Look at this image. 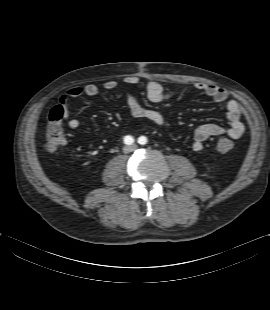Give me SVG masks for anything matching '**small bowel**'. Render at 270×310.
<instances>
[{"instance_id": "small-bowel-1", "label": "small bowel", "mask_w": 270, "mask_h": 310, "mask_svg": "<svg viewBox=\"0 0 270 310\" xmlns=\"http://www.w3.org/2000/svg\"><path fill=\"white\" fill-rule=\"evenodd\" d=\"M124 82L129 85H137L141 80L136 76H128L124 79ZM117 86L118 83L113 80H107L103 83V88L105 90H114ZM144 89L147 98L156 103L171 100L176 96L175 92L166 91L160 83L154 80H147L144 83ZM195 89L212 99L214 102L225 104L229 126L223 127L215 123H207L197 127L193 134L192 149L194 151H200L203 148L204 141L211 137L224 134L232 139L240 138L245 131V127L241 121L242 109L238 101L231 99L229 93L224 88L213 84L197 83L195 84ZM99 94L100 88L97 85L87 83L83 86L70 88L60 97L57 106L62 108L64 112L63 118L68 120V126L71 129L80 128L81 122L75 118L69 119V99L78 98L82 95L94 97ZM127 106L131 115L135 118L146 119L158 126H165L167 123L165 116L161 112L143 107L138 97L133 92L127 94Z\"/></svg>"}]
</instances>
